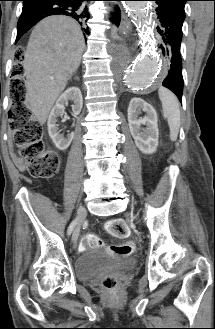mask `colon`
<instances>
[{
	"mask_svg": "<svg viewBox=\"0 0 215 329\" xmlns=\"http://www.w3.org/2000/svg\"><path fill=\"white\" fill-rule=\"evenodd\" d=\"M13 62H26V55H13ZM11 73H22V66H11ZM12 108L9 112L10 126L14 133V141L19 148L18 157L25 164L30 175L35 178H52L59 170L60 160L58 155L45 147L42 140L43 129L41 124L33 117L31 110L26 105V86L21 79H13L10 84ZM108 233L119 239H127L129 228L122 219H112L107 223ZM90 246L93 248L104 247L103 241L95 235H87L83 238L81 248ZM108 252H116L122 256L130 255L134 250L132 241H126L120 246L107 247ZM107 289L116 286V278L107 277L104 280Z\"/></svg>",
	"mask_w": 215,
	"mask_h": 329,
	"instance_id": "1",
	"label": "colon"
}]
</instances>
